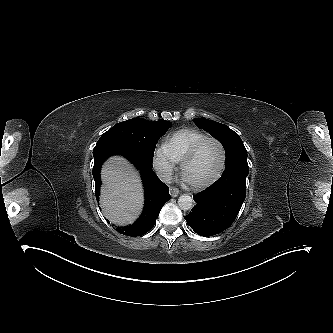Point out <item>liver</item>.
<instances>
[{"label":"liver","mask_w":333,"mask_h":333,"mask_svg":"<svg viewBox=\"0 0 333 333\" xmlns=\"http://www.w3.org/2000/svg\"><path fill=\"white\" fill-rule=\"evenodd\" d=\"M103 187L100 206L112 223L123 226L133 223L143 207L140 176L123 157H111L101 171Z\"/></svg>","instance_id":"1"}]
</instances>
